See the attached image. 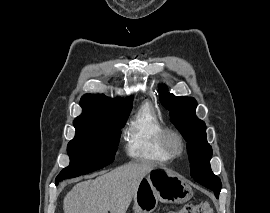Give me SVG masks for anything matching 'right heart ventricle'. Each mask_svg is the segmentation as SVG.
<instances>
[{
  "label": "right heart ventricle",
  "mask_w": 270,
  "mask_h": 213,
  "mask_svg": "<svg viewBox=\"0 0 270 213\" xmlns=\"http://www.w3.org/2000/svg\"><path fill=\"white\" fill-rule=\"evenodd\" d=\"M165 128L154 109L149 104L142 105L126 131L128 156L139 161H169L171 157L161 146V135Z\"/></svg>",
  "instance_id": "right-heart-ventricle-1"
}]
</instances>
